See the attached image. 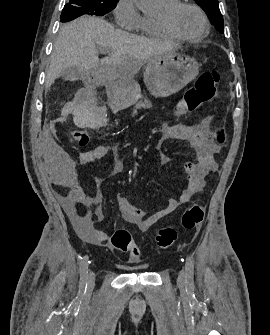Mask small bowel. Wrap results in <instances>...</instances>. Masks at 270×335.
Here are the masks:
<instances>
[{
  "instance_id": "small-bowel-1",
  "label": "small bowel",
  "mask_w": 270,
  "mask_h": 335,
  "mask_svg": "<svg viewBox=\"0 0 270 335\" xmlns=\"http://www.w3.org/2000/svg\"><path fill=\"white\" fill-rule=\"evenodd\" d=\"M210 118L203 119L199 124L186 126L182 124L168 125L162 127V138L181 139L190 142L197 153V162H186L184 169L187 175V185L178 198H170L166 206L155 212L147 213L145 210L135 207L128 199L117 194L116 201L124 220L138 227L139 231L147 232L158 221L172 214L181 205L188 203L191 198L200 192L207 179L217 173L218 165L215 160L217 152L216 143L208 136ZM44 144L47 158H41V165H48L44 171V178H68L63 185L70 188V191L62 199L65 211L70 218L80 236L92 244H102L107 240V235L93 226V218L103 220L105 217L104 193L102 184L105 177L96 176V191L93 195L88 194L86 189L79 184L75 178H80V171H76L78 164H89L100 160L112 153L114 164L110 170L109 176L120 175L124 171V162L117 148H108L106 146H97L88 151L82 152L77 158H67V149L58 147L55 144L54 135H45ZM160 163L165 164L168 159L161 155ZM92 204H97V209L92 213L89 208ZM84 208V213L80 212Z\"/></svg>"
}]
</instances>
